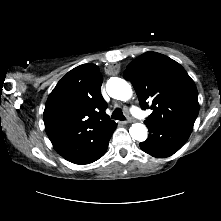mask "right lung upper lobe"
<instances>
[{"label": "right lung upper lobe", "mask_w": 221, "mask_h": 221, "mask_svg": "<svg viewBox=\"0 0 221 221\" xmlns=\"http://www.w3.org/2000/svg\"><path fill=\"white\" fill-rule=\"evenodd\" d=\"M102 80L97 65H80L58 82L47 99L46 133L54 149L70 162L90 150L117 125L105 112Z\"/></svg>", "instance_id": "obj_1"}]
</instances>
